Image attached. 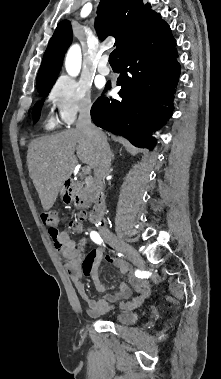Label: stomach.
I'll use <instances>...</instances> for the list:
<instances>
[{
	"label": "stomach",
	"mask_w": 221,
	"mask_h": 379,
	"mask_svg": "<svg viewBox=\"0 0 221 379\" xmlns=\"http://www.w3.org/2000/svg\"><path fill=\"white\" fill-rule=\"evenodd\" d=\"M60 192L65 193V187L64 186L60 189Z\"/></svg>",
	"instance_id": "1"
}]
</instances>
